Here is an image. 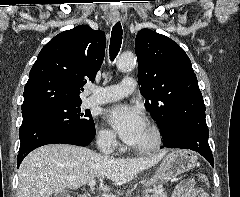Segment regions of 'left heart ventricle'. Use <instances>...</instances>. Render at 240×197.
I'll return each mask as SVG.
<instances>
[{
	"instance_id": "left-heart-ventricle-1",
	"label": "left heart ventricle",
	"mask_w": 240,
	"mask_h": 197,
	"mask_svg": "<svg viewBox=\"0 0 240 197\" xmlns=\"http://www.w3.org/2000/svg\"><path fill=\"white\" fill-rule=\"evenodd\" d=\"M151 141V136L148 127L146 126L143 134L139 138V140L133 144V146H140V145H145L148 144Z\"/></svg>"
}]
</instances>
